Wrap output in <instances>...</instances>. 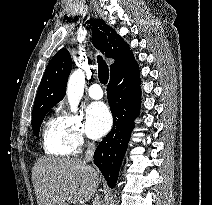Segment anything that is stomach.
Here are the masks:
<instances>
[{"mask_svg":"<svg viewBox=\"0 0 212 205\" xmlns=\"http://www.w3.org/2000/svg\"><path fill=\"white\" fill-rule=\"evenodd\" d=\"M58 205H67V203H60V204H58Z\"/></svg>","mask_w":212,"mask_h":205,"instance_id":"stomach-1","label":"stomach"}]
</instances>
